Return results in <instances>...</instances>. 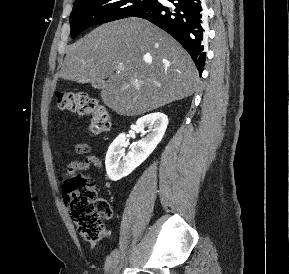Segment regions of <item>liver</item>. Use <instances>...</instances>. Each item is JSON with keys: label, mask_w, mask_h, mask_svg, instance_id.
<instances>
[{"label": "liver", "mask_w": 289, "mask_h": 274, "mask_svg": "<svg viewBox=\"0 0 289 274\" xmlns=\"http://www.w3.org/2000/svg\"><path fill=\"white\" fill-rule=\"evenodd\" d=\"M59 76L101 83L103 103L122 116L189 97L199 81L187 51L163 30L135 17L102 24L70 45Z\"/></svg>", "instance_id": "liver-1"}]
</instances>
